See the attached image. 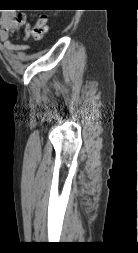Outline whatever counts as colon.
Listing matches in <instances>:
<instances>
[{"mask_svg": "<svg viewBox=\"0 0 138 253\" xmlns=\"http://www.w3.org/2000/svg\"><path fill=\"white\" fill-rule=\"evenodd\" d=\"M46 23V17H40L31 28L30 35L35 41L39 42L44 39L47 30Z\"/></svg>", "mask_w": 138, "mask_h": 253, "instance_id": "obj_1", "label": "colon"}]
</instances>
